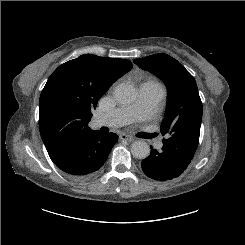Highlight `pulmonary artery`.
I'll list each match as a JSON object with an SVG mask.
<instances>
[{
	"mask_svg": "<svg viewBox=\"0 0 245 245\" xmlns=\"http://www.w3.org/2000/svg\"><path fill=\"white\" fill-rule=\"evenodd\" d=\"M165 96L163 88L141 84L138 99L127 106L118 107L111 112L99 113L96 121L99 126H122L132 121L149 118ZM162 148V142L157 144Z\"/></svg>",
	"mask_w": 245,
	"mask_h": 245,
	"instance_id": "1",
	"label": "pulmonary artery"
}]
</instances>
